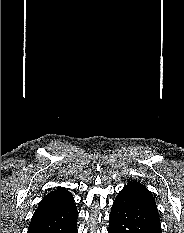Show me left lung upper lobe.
<instances>
[{
	"label": "left lung upper lobe",
	"instance_id": "5c2ea615",
	"mask_svg": "<svg viewBox=\"0 0 184 233\" xmlns=\"http://www.w3.org/2000/svg\"><path fill=\"white\" fill-rule=\"evenodd\" d=\"M124 191L130 192L138 196L140 199L145 201L154 211L157 218L159 219V213L156 206L155 199L151 192L140 182L137 181H128V184L122 189ZM160 220V219H159Z\"/></svg>",
	"mask_w": 184,
	"mask_h": 233
}]
</instances>
